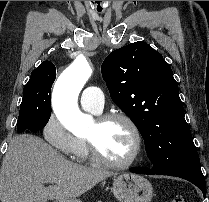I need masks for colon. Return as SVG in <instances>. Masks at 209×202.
Returning <instances> with one entry per match:
<instances>
[{"instance_id": "obj_1", "label": "colon", "mask_w": 209, "mask_h": 202, "mask_svg": "<svg viewBox=\"0 0 209 202\" xmlns=\"http://www.w3.org/2000/svg\"><path fill=\"white\" fill-rule=\"evenodd\" d=\"M169 202H189V201L186 200L185 198L177 197V198L172 199V200L169 201Z\"/></svg>"}]
</instances>
